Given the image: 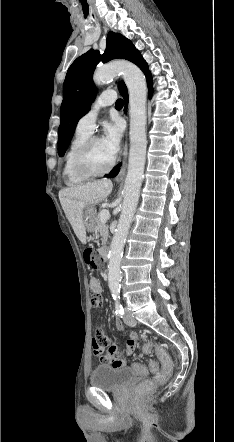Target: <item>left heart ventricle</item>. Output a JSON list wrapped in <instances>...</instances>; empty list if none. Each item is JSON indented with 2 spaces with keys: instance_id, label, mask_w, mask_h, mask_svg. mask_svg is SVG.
<instances>
[{
  "instance_id": "b2bd125f",
  "label": "left heart ventricle",
  "mask_w": 234,
  "mask_h": 442,
  "mask_svg": "<svg viewBox=\"0 0 234 442\" xmlns=\"http://www.w3.org/2000/svg\"><path fill=\"white\" fill-rule=\"evenodd\" d=\"M113 156L106 150L101 140L96 141L89 153L90 166L95 170L106 168L112 161Z\"/></svg>"
}]
</instances>
